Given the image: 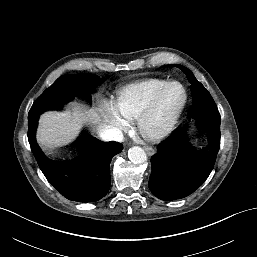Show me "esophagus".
I'll list each match as a JSON object with an SVG mask.
<instances>
[{
    "instance_id": "1",
    "label": "esophagus",
    "mask_w": 257,
    "mask_h": 257,
    "mask_svg": "<svg viewBox=\"0 0 257 257\" xmlns=\"http://www.w3.org/2000/svg\"><path fill=\"white\" fill-rule=\"evenodd\" d=\"M144 151L147 153L148 156L154 155L155 151L152 147L144 146Z\"/></svg>"
}]
</instances>
